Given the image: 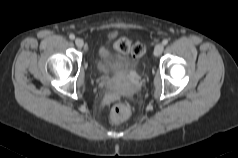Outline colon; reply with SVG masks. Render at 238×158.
Returning a JSON list of instances; mask_svg holds the SVG:
<instances>
[{
	"instance_id": "colon-1",
	"label": "colon",
	"mask_w": 238,
	"mask_h": 158,
	"mask_svg": "<svg viewBox=\"0 0 238 158\" xmlns=\"http://www.w3.org/2000/svg\"><path fill=\"white\" fill-rule=\"evenodd\" d=\"M115 49L120 54H130L134 58H139L144 54V46L140 42H132L127 38H120L115 43ZM131 114L130 107L125 103H118L113 106L110 112L111 120L115 123L126 120Z\"/></svg>"
}]
</instances>
